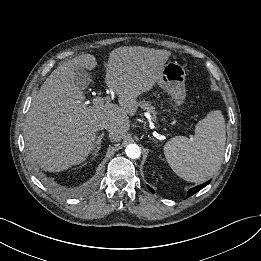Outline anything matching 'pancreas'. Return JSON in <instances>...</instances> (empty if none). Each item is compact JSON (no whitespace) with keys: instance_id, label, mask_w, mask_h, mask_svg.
Masks as SVG:
<instances>
[{"instance_id":"pancreas-1","label":"pancreas","mask_w":261,"mask_h":261,"mask_svg":"<svg viewBox=\"0 0 261 261\" xmlns=\"http://www.w3.org/2000/svg\"><path fill=\"white\" fill-rule=\"evenodd\" d=\"M138 105L143 110H146L149 114H151L153 120H156L157 111L155 110V107L151 105V103L149 101L142 99L139 101Z\"/></svg>"}]
</instances>
